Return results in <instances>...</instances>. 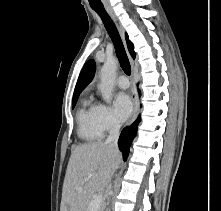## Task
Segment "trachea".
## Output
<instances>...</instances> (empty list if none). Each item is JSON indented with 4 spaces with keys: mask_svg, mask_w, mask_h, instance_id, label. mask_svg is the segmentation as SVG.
<instances>
[{
    "mask_svg": "<svg viewBox=\"0 0 221 211\" xmlns=\"http://www.w3.org/2000/svg\"><path fill=\"white\" fill-rule=\"evenodd\" d=\"M93 10L100 16L115 48L116 55L118 57V60L120 62V66L123 69V71L127 74H131V66L129 63V59L127 57L124 45L122 43L121 37L119 35V32L107 13V11L104 8H93Z\"/></svg>",
    "mask_w": 221,
    "mask_h": 211,
    "instance_id": "3493384b",
    "label": "trachea"
}]
</instances>
